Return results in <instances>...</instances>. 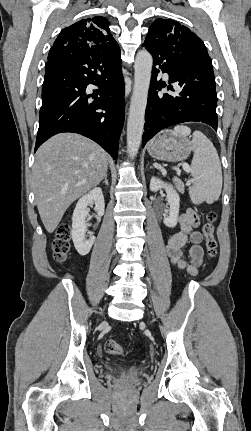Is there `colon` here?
<instances>
[{"label": "colon", "mask_w": 251, "mask_h": 431, "mask_svg": "<svg viewBox=\"0 0 251 431\" xmlns=\"http://www.w3.org/2000/svg\"><path fill=\"white\" fill-rule=\"evenodd\" d=\"M215 221L216 214L210 211L206 215L204 224L202 225V233L205 237V247L209 257H215L218 249V242L215 237ZM71 226L68 222L58 226L55 238L52 243L53 257L57 262H62L68 256L71 250ZM105 351L110 355H122L124 350L121 344L114 340H107L104 343Z\"/></svg>", "instance_id": "obj_1"}]
</instances>
